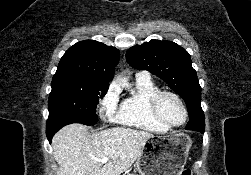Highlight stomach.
<instances>
[{
    "instance_id": "0dacf381",
    "label": "stomach",
    "mask_w": 251,
    "mask_h": 175,
    "mask_svg": "<svg viewBox=\"0 0 251 175\" xmlns=\"http://www.w3.org/2000/svg\"><path fill=\"white\" fill-rule=\"evenodd\" d=\"M191 145L185 133L153 135L145 141L135 167L139 175H180Z\"/></svg>"
}]
</instances>
